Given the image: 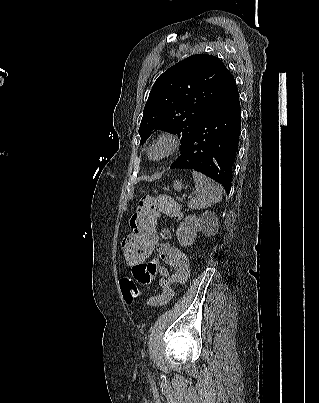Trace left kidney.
I'll use <instances>...</instances> for the list:
<instances>
[{
  "instance_id": "5707ae66",
  "label": "left kidney",
  "mask_w": 319,
  "mask_h": 403,
  "mask_svg": "<svg viewBox=\"0 0 319 403\" xmlns=\"http://www.w3.org/2000/svg\"><path fill=\"white\" fill-rule=\"evenodd\" d=\"M216 219V215L211 211H206L199 218L195 215L187 216L185 221L180 223V226L176 231L180 245L184 247L191 246L196 239L198 231L204 233L208 232L206 229V223L208 220L215 221Z\"/></svg>"
}]
</instances>
